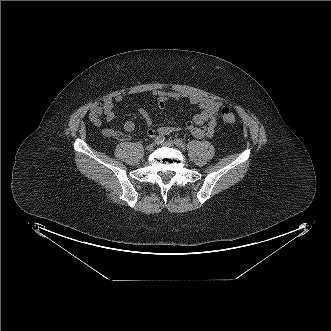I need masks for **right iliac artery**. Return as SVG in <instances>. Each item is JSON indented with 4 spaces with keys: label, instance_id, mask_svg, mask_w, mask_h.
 Here are the masks:
<instances>
[{
    "label": "right iliac artery",
    "instance_id": "1",
    "mask_svg": "<svg viewBox=\"0 0 331 331\" xmlns=\"http://www.w3.org/2000/svg\"><path fill=\"white\" fill-rule=\"evenodd\" d=\"M164 140H165V137L159 135V136H157V137L154 139V143H155V144H161L162 142H164Z\"/></svg>",
    "mask_w": 331,
    "mask_h": 331
}]
</instances>
